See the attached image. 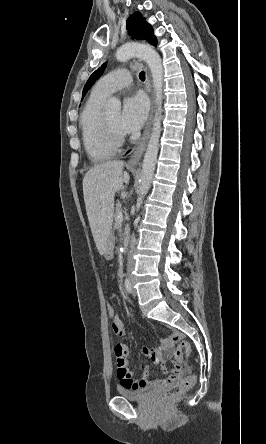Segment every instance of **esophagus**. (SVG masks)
<instances>
[{
    "instance_id": "34e87169",
    "label": "esophagus",
    "mask_w": 266,
    "mask_h": 444,
    "mask_svg": "<svg viewBox=\"0 0 266 444\" xmlns=\"http://www.w3.org/2000/svg\"><path fill=\"white\" fill-rule=\"evenodd\" d=\"M148 91L150 93V98H151L150 116L147 121L143 135H142L141 139L137 142V144L134 146L132 154L130 156V159L127 163V166H130V167L136 166L138 164V162L140 161V159L145 151L146 144H147V141L150 136L151 126H152V121H153V112H154V97H153V91H152V85H151L150 79H148Z\"/></svg>"
}]
</instances>
